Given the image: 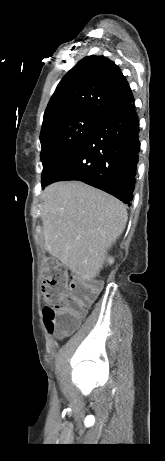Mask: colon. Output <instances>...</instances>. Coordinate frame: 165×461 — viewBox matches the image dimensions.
I'll use <instances>...</instances> for the list:
<instances>
[{"label":"colon","mask_w":165,"mask_h":461,"mask_svg":"<svg viewBox=\"0 0 165 461\" xmlns=\"http://www.w3.org/2000/svg\"><path fill=\"white\" fill-rule=\"evenodd\" d=\"M42 277L47 301L43 309L46 328L57 338L67 337L80 325L100 285L69 277L66 267L52 258L43 263Z\"/></svg>","instance_id":"colon-1"}]
</instances>
